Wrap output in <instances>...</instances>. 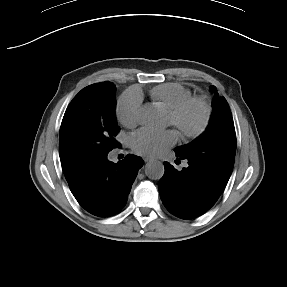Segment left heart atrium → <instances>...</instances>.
Returning <instances> with one entry per match:
<instances>
[{
	"label": "left heart atrium",
	"mask_w": 287,
	"mask_h": 287,
	"mask_svg": "<svg viewBox=\"0 0 287 287\" xmlns=\"http://www.w3.org/2000/svg\"><path fill=\"white\" fill-rule=\"evenodd\" d=\"M177 141V134L172 130L152 132L141 130L133 135V149L143 156L156 157L163 154Z\"/></svg>",
	"instance_id": "39dd6f15"
}]
</instances>
